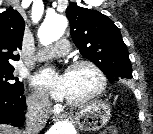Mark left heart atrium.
I'll list each match as a JSON object with an SVG mask.
<instances>
[{"mask_svg":"<svg viewBox=\"0 0 153 134\" xmlns=\"http://www.w3.org/2000/svg\"><path fill=\"white\" fill-rule=\"evenodd\" d=\"M33 83L57 100L66 98L67 73H58L54 70L46 69L35 75Z\"/></svg>","mask_w":153,"mask_h":134,"instance_id":"39dd6f15","label":"left heart atrium"}]
</instances>
